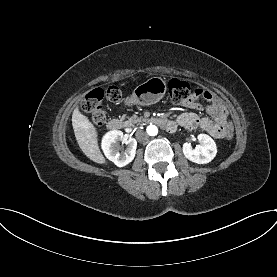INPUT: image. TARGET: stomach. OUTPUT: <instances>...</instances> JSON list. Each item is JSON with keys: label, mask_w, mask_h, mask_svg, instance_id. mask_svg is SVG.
Returning <instances> with one entry per match:
<instances>
[{"label": "stomach", "mask_w": 277, "mask_h": 277, "mask_svg": "<svg viewBox=\"0 0 277 277\" xmlns=\"http://www.w3.org/2000/svg\"><path fill=\"white\" fill-rule=\"evenodd\" d=\"M167 85L161 77H152L139 84L127 100L129 105H151L160 101L165 95Z\"/></svg>", "instance_id": "0dacf381"}]
</instances>
